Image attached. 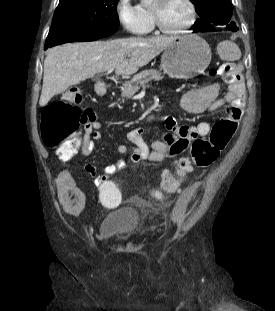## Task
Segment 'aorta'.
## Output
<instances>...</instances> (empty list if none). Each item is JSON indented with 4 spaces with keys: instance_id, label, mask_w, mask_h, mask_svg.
I'll use <instances>...</instances> for the list:
<instances>
[{
    "instance_id": "obj_1",
    "label": "aorta",
    "mask_w": 275,
    "mask_h": 311,
    "mask_svg": "<svg viewBox=\"0 0 275 311\" xmlns=\"http://www.w3.org/2000/svg\"><path fill=\"white\" fill-rule=\"evenodd\" d=\"M141 2L145 5H149L153 2V0H141Z\"/></svg>"
}]
</instances>
